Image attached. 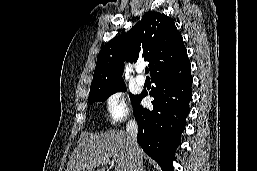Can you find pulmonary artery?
Here are the masks:
<instances>
[{"label": "pulmonary artery", "mask_w": 257, "mask_h": 171, "mask_svg": "<svg viewBox=\"0 0 257 171\" xmlns=\"http://www.w3.org/2000/svg\"><path fill=\"white\" fill-rule=\"evenodd\" d=\"M138 75L136 76V83L140 86L145 84V78L140 74L141 68L137 69Z\"/></svg>", "instance_id": "pulmonary-artery-1"}]
</instances>
